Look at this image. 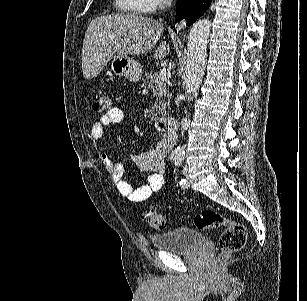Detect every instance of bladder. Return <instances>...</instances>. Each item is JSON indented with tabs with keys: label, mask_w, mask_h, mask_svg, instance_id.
<instances>
[{
	"label": "bladder",
	"mask_w": 307,
	"mask_h": 301,
	"mask_svg": "<svg viewBox=\"0 0 307 301\" xmlns=\"http://www.w3.org/2000/svg\"><path fill=\"white\" fill-rule=\"evenodd\" d=\"M156 250L170 253L190 252L203 242L200 231L193 228H176L172 232L151 236Z\"/></svg>",
	"instance_id": "1"
}]
</instances>
